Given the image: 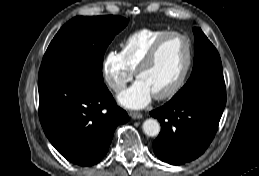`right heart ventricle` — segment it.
Segmentation results:
<instances>
[{
  "mask_svg": "<svg viewBox=\"0 0 259 176\" xmlns=\"http://www.w3.org/2000/svg\"><path fill=\"white\" fill-rule=\"evenodd\" d=\"M168 29L144 28L130 34L122 44L121 54L126 65L134 72L153 44Z\"/></svg>",
  "mask_w": 259,
  "mask_h": 176,
  "instance_id": "1",
  "label": "right heart ventricle"
}]
</instances>
